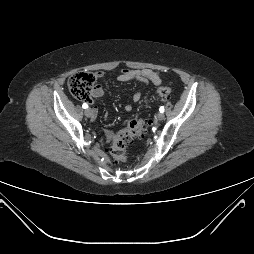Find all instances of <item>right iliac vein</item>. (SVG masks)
I'll return each instance as SVG.
<instances>
[{
    "mask_svg": "<svg viewBox=\"0 0 254 254\" xmlns=\"http://www.w3.org/2000/svg\"><path fill=\"white\" fill-rule=\"evenodd\" d=\"M84 113H85V116L88 117V118H90L92 116V110L91 109H86L84 111Z\"/></svg>",
    "mask_w": 254,
    "mask_h": 254,
    "instance_id": "63e3f726",
    "label": "right iliac vein"
}]
</instances>
